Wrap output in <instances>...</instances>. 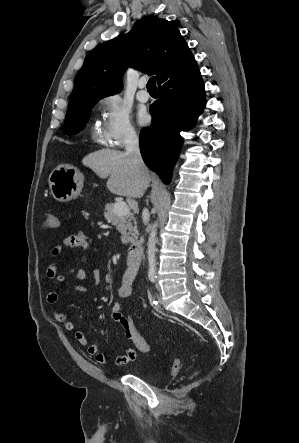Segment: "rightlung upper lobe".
<instances>
[{"mask_svg": "<svg viewBox=\"0 0 299 443\" xmlns=\"http://www.w3.org/2000/svg\"><path fill=\"white\" fill-rule=\"evenodd\" d=\"M126 65L157 75V83L182 77L197 68L186 41L176 26L147 16L128 34L95 47L80 69L69 107L120 92Z\"/></svg>", "mask_w": 299, "mask_h": 443, "instance_id": "cb5924a9", "label": "right lung upper lobe"}]
</instances>
